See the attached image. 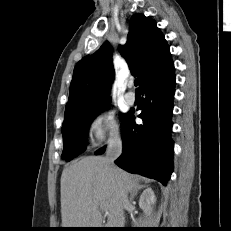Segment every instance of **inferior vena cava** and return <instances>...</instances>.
<instances>
[{"mask_svg":"<svg viewBox=\"0 0 231 231\" xmlns=\"http://www.w3.org/2000/svg\"><path fill=\"white\" fill-rule=\"evenodd\" d=\"M122 153V140L119 134L112 135L108 142L106 148L105 161L109 168L114 166V161ZM123 204H127L128 199L126 195L122 197Z\"/></svg>","mask_w":231,"mask_h":231,"instance_id":"602c4592","label":"inferior vena cava"}]
</instances>
